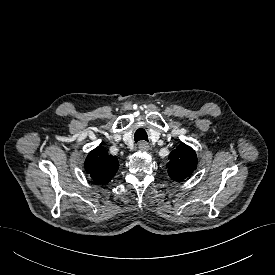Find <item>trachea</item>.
<instances>
[{
    "label": "trachea",
    "instance_id": "obj_1",
    "mask_svg": "<svg viewBox=\"0 0 275 275\" xmlns=\"http://www.w3.org/2000/svg\"><path fill=\"white\" fill-rule=\"evenodd\" d=\"M134 140L137 143L140 140L148 141V136L143 128H139L134 134Z\"/></svg>",
    "mask_w": 275,
    "mask_h": 275
}]
</instances>
